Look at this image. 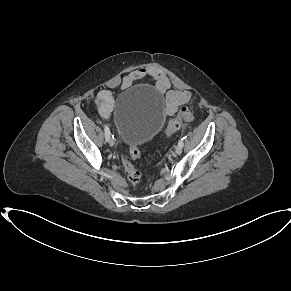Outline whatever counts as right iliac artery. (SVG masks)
<instances>
[{
	"instance_id": "obj_1",
	"label": "right iliac artery",
	"mask_w": 291,
	"mask_h": 291,
	"mask_svg": "<svg viewBox=\"0 0 291 291\" xmlns=\"http://www.w3.org/2000/svg\"><path fill=\"white\" fill-rule=\"evenodd\" d=\"M104 131H105L106 140L108 141L109 137H110V130H109V127L107 125L104 126Z\"/></svg>"
}]
</instances>
